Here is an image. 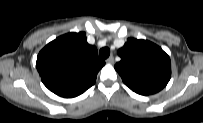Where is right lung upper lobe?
Instances as JSON below:
<instances>
[{
    "label": "right lung upper lobe",
    "mask_w": 203,
    "mask_h": 123,
    "mask_svg": "<svg viewBox=\"0 0 203 123\" xmlns=\"http://www.w3.org/2000/svg\"><path fill=\"white\" fill-rule=\"evenodd\" d=\"M105 65L95 46L86 41V33H68L47 44L38 54L37 70L44 85L53 93L73 98L84 93L96 81Z\"/></svg>",
    "instance_id": "right-lung-upper-lobe-1"
}]
</instances>
